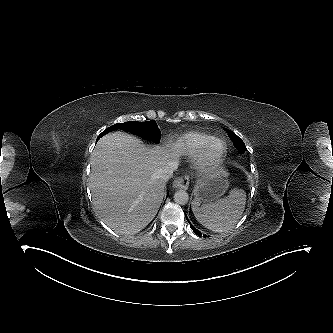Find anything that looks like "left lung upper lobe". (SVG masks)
Returning <instances> with one entry per match:
<instances>
[{
	"instance_id": "5c2ea615",
	"label": "left lung upper lobe",
	"mask_w": 333,
	"mask_h": 333,
	"mask_svg": "<svg viewBox=\"0 0 333 333\" xmlns=\"http://www.w3.org/2000/svg\"><path fill=\"white\" fill-rule=\"evenodd\" d=\"M225 130L228 132L229 136L231 137L238 152L244 153L246 151L244 142L231 130H228V129H225Z\"/></svg>"
}]
</instances>
